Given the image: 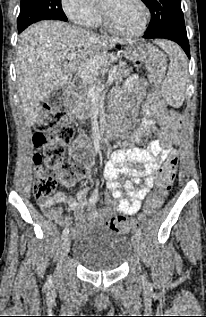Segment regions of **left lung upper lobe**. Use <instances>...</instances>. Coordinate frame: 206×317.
Here are the masks:
<instances>
[{
    "mask_svg": "<svg viewBox=\"0 0 206 317\" xmlns=\"http://www.w3.org/2000/svg\"><path fill=\"white\" fill-rule=\"evenodd\" d=\"M150 9L152 19L147 35L163 31L186 32L181 0H142Z\"/></svg>",
    "mask_w": 206,
    "mask_h": 317,
    "instance_id": "5c2ea615",
    "label": "left lung upper lobe"
}]
</instances>
